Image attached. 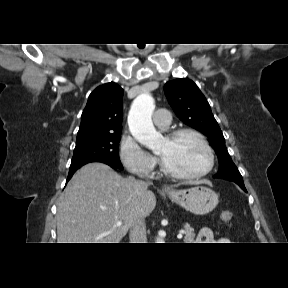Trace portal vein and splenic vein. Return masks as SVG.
Instances as JSON below:
<instances>
[{
  "label": "portal vein and splenic vein",
  "instance_id": "18ae733b",
  "mask_svg": "<svg viewBox=\"0 0 288 288\" xmlns=\"http://www.w3.org/2000/svg\"><path fill=\"white\" fill-rule=\"evenodd\" d=\"M122 225V222L121 221H117L116 223H115V226H117V227H119V226H121ZM177 238L178 239H181L182 238V232H180L178 235H177Z\"/></svg>",
  "mask_w": 288,
  "mask_h": 288
}]
</instances>
